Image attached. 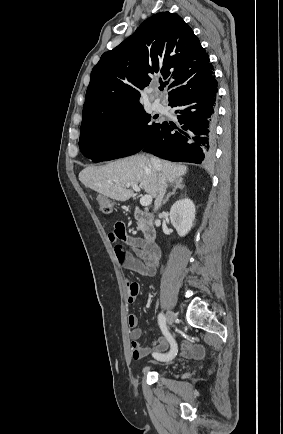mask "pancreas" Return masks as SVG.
I'll return each mask as SVG.
<instances>
[{
    "label": "pancreas",
    "instance_id": "obj_1",
    "mask_svg": "<svg viewBox=\"0 0 283 434\" xmlns=\"http://www.w3.org/2000/svg\"><path fill=\"white\" fill-rule=\"evenodd\" d=\"M138 230H143L144 229V223L143 222H138Z\"/></svg>",
    "mask_w": 283,
    "mask_h": 434
}]
</instances>
